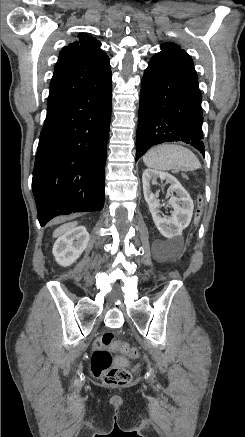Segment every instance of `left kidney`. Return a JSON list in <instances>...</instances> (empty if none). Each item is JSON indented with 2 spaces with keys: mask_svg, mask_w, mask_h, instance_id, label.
Instances as JSON below:
<instances>
[{
  "mask_svg": "<svg viewBox=\"0 0 245 437\" xmlns=\"http://www.w3.org/2000/svg\"><path fill=\"white\" fill-rule=\"evenodd\" d=\"M157 178L166 180L170 184L169 191L171 193L176 192L177 196L172 195L167 202L174 209L171 218L161 216L159 210L161 203L158 196L152 193L151 186L156 183ZM142 182L145 201L159 232L169 239L179 237L190 224L193 215L194 204L189 193L173 175L154 169L144 171Z\"/></svg>",
  "mask_w": 245,
  "mask_h": 437,
  "instance_id": "1",
  "label": "left kidney"
}]
</instances>
